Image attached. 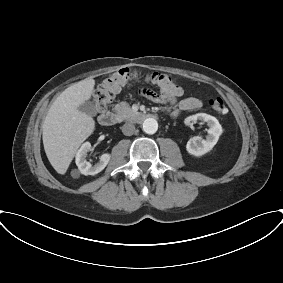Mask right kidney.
Wrapping results in <instances>:
<instances>
[{
    "mask_svg": "<svg viewBox=\"0 0 283 283\" xmlns=\"http://www.w3.org/2000/svg\"><path fill=\"white\" fill-rule=\"evenodd\" d=\"M91 150V144L85 142L82 144L78 152L76 153V165L81 174L83 175H96L101 172L108 164L111 155L105 153L100 156L99 162L92 166L90 162L86 160L87 153Z\"/></svg>",
    "mask_w": 283,
    "mask_h": 283,
    "instance_id": "ca27d5eb",
    "label": "right kidney"
}]
</instances>
